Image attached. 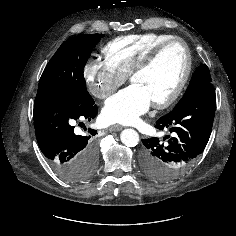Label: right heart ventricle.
Returning <instances> with one entry per match:
<instances>
[{
  "label": "right heart ventricle",
  "mask_w": 236,
  "mask_h": 236,
  "mask_svg": "<svg viewBox=\"0 0 236 236\" xmlns=\"http://www.w3.org/2000/svg\"><path fill=\"white\" fill-rule=\"evenodd\" d=\"M172 37L160 33L126 35L108 42L102 51L106 60L127 76L156 45Z\"/></svg>",
  "instance_id": "right-heart-ventricle-1"
}]
</instances>
